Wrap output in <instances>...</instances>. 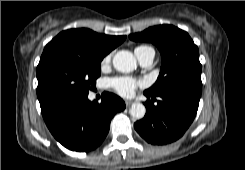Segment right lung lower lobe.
<instances>
[{
    "instance_id": "obj_1",
    "label": "right lung lower lobe",
    "mask_w": 245,
    "mask_h": 170,
    "mask_svg": "<svg viewBox=\"0 0 245 170\" xmlns=\"http://www.w3.org/2000/svg\"><path fill=\"white\" fill-rule=\"evenodd\" d=\"M124 109L120 97L104 92L101 103L90 102L87 94L58 100L41 112L58 142L72 151L86 152L103 142L112 117Z\"/></svg>"
}]
</instances>
